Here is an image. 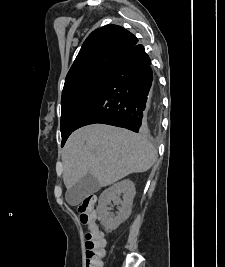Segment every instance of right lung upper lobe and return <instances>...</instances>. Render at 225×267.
Returning <instances> with one entry per match:
<instances>
[{
    "label": "right lung upper lobe",
    "mask_w": 225,
    "mask_h": 267,
    "mask_svg": "<svg viewBox=\"0 0 225 267\" xmlns=\"http://www.w3.org/2000/svg\"><path fill=\"white\" fill-rule=\"evenodd\" d=\"M137 42L132 33L118 25L94 30L83 43L66 76L64 87L87 77L109 73L118 57Z\"/></svg>",
    "instance_id": "cb5924a9"
}]
</instances>
